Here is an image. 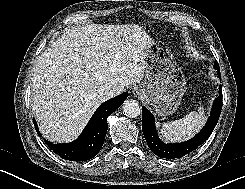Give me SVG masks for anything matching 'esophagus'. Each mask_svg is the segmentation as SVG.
Listing matches in <instances>:
<instances>
[{
    "label": "esophagus",
    "instance_id": "obj_1",
    "mask_svg": "<svg viewBox=\"0 0 245 189\" xmlns=\"http://www.w3.org/2000/svg\"><path fill=\"white\" fill-rule=\"evenodd\" d=\"M132 92H133L134 95H139L140 94V90H139L138 87H134Z\"/></svg>",
    "mask_w": 245,
    "mask_h": 189
}]
</instances>
